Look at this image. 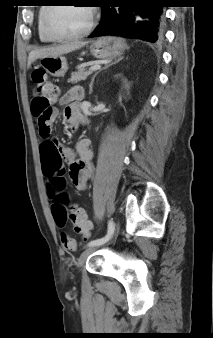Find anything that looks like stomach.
Here are the masks:
<instances>
[{"label":"stomach","instance_id":"obj_1","mask_svg":"<svg viewBox=\"0 0 213 338\" xmlns=\"http://www.w3.org/2000/svg\"><path fill=\"white\" fill-rule=\"evenodd\" d=\"M127 45L124 39L114 36L100 37L89 43L90 53L97 59H114L120 57ZM39 64L43 69L53 77H62L65 75L68 67L66 58L42 57Z\"/></svg>","mask_w":213,"mask_h":338}]
</instances>
